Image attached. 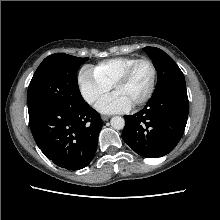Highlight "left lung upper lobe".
<instances>
[{"mask_svg": "<svg viewBox=\"0 0 220 220\" xmlns=\"http://www.w3.org/2000/svg\"><path fill=\"white\" fill-rule=\"evenodd\" d=\"M144 50L153 60L158 74L153 95L173 85L185 83L182 71L168 54L156 47H145Z\"/></svg>", "mask_w": 220, "mask_h": 220, "instance_id": "5c2ea615", "label": "left lung upper lobe"}]
</instances>
